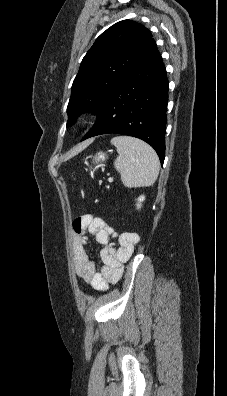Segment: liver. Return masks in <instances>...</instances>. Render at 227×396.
<instances>
[{
	"label": "liver",
	"mask_w": 227,
	"mask_h": 396,
	"mask_svg": "<svg viewBox=\"0 0 227 396\" xmlns=\"http://www.w3.org/2000/svg\"><path fill=\"white\" fill-rule=\"evenodd\" d=\"M89 144V142L84 143L80 146H78L72 153V155H75L76 153L80 152L81 150H83L87 145Z\"/></svg>",
	"instance_id": "6515ba94"
}]
</instances>
